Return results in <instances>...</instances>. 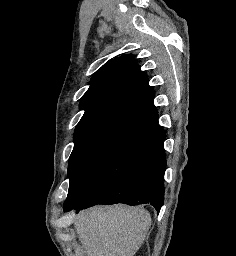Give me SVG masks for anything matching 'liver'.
<instances>
[{
	"instance_id": "6515ba94",
	"label": "liver",
	"mask_w": 236,
	"mask_h": 256,
	"mask_svg": "<svg viewBox=\"0 0 236 256\" xmlns=\"http://www.w3.org/2000/svg\"><path fill=\"white\" fill-rule=\"evenodd\" d=\"M150 226L151 216L141 206H94L74 222L86 256H135Z\"/></svg>"
}]
</instances>
